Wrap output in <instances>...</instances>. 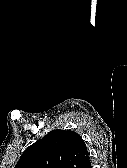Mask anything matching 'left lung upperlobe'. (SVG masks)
Returning a JSON list of instances; mask_svg holds the SVG:
<instances>
[{
	"label": "left lung upper lobe",
	"instance_id": "1",
	"mask_svg": "<svg viewBox=\"0 0 127 168\" xmlns=\"http://www.w3.org/2000/svg\"><path fill=\"white\" fill-rule=\"evenodd\" d=\"M87 149L74 131H50L28 147L14 168H82Z\"/></svg>",
	"mask_w": 127,
	"mask_h": 168
}]
</instances>
